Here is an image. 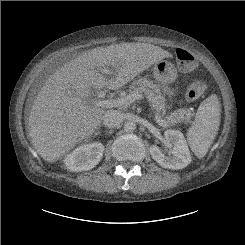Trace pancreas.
<instances>
[{
    "label": "pancreas",
    "mask_w": 245,
    "mask_h": 245,
    "mask_svg": "<svg viewBox=\"0 0 245 245\" xmlns=\"http://www.w3.org/2000/svg\"><path fill=\"white\" fill-rule=\"evenodd\" d=\"M129 93L144 94L148 99L153 111L157 113L167 123V126H173L176 123H187L191 119L192 113L188 109H179L171 115H166L165 98L160 92L158 85L146 78L134 80L129 89Z\"/></svg>",
    "instance_id": "obj_1"
}]
</instances>
